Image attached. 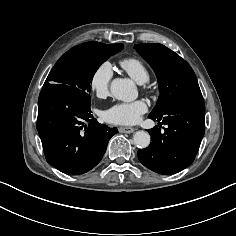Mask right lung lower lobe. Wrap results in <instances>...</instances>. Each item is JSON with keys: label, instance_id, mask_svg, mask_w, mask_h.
Segmentation results:
<instances>
[{"label": "right lung lower lobe", "instance_id": "obj_1", "mask_svg": "<svg viewBox=\"0 0 236 236\" xmlns=\"http://www.w3.org/2000/svg\"><path fill=\"white\" fill-rule=\"evenodd\" d=\"M91 104L68 86L43 87L38 99L37 130L46 160L59 171L79 175L102 159L109 139L117 128L93 118Z\"/></svg>", "mask_w": 236, "mask_h": 236}]
</instances>
